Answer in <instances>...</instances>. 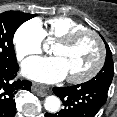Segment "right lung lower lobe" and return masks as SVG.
Segmentation results:
<instances>
[{
	"mask_svg": "<svg viewBox=\"0 0 117 117\" xmlns=\"http://www.w3.org/2000/svg\"><path fill=\"white\" fill-rule=\"evenodd\" d=\"M19 70L17 62L0 65V117H14L16 113L15 94L19 90H30L28 80H14Z\"/></svg>",
	"mask_w": 117,
	"mask_h": 117,
	"instance_id": "98d812e1",
	"label": "right lung lower lobe"
}]
</instances>
